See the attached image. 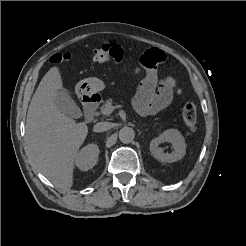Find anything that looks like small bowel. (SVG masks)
<instances>
[{
	"label": "small bowel",
	"mask_w": 246,
	"mask_h": 246,
	"mask_svg": "<svg viewBox=\"0 0 246 246\" xmlns=\"http://www.w3.org/2000/svg\"><path fill=\"white\" fill-rule=\"evenodd\" d=\"M166 55L159 49H150L141 57L145 76L134 98L136 111L152 115L167 108L173 101V81L170 77L159 79L156 68L164 62Z\"/></svg>",
	"instance_id": "c3829d8e"
}]
</instances>
